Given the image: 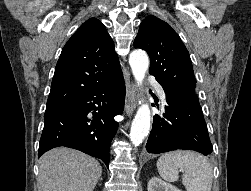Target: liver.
I'll use <instances>...</instances> for the list:
<instances>
[{"instance_id":"obj_1","label":"liver","mask_w":251,"mask_h":191,"mask_svg":"<svg viewBox=\"0 0 251 191\" xmlns=\"http://www.w3.org/2000/svg\"><path fill=\"white\" fill-rule=\"evenodd\" d=\"M101 173L95 157L68 147H54L39 159L42 191H93Z\"/></svg>"}]
</instances>
